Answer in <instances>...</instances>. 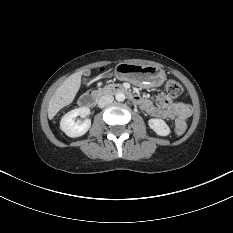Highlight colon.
Masks as SVG:
<instances>
[{
	"label": "colon",
	"mask_w": 233,
	"mask_h": 233,
	"mask_svg": "<svg viewBox=\"0 0 233 233\" xmlns=\"http://www.w3.org/2000/svg\"><path fill=\"white\" fill-rule=\"evenodd\" d=\"M165 88H166L167 94L170 97H172V98L179 97V96H181L183 94V87H182V85L178 81H176L174 79H169L167 81V83H166ZM175 131H176V133L178 135H181V134L184 133L185 128H183V127H176Z\"/></svg>",
	"instance_id": "5ec220e1"
}]
</instances>
